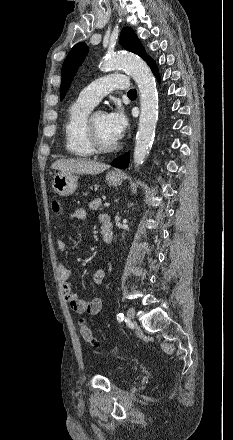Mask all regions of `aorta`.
Instances as JSON below:
<instances>
[{
    "mask_svg": "<svg viewBox=\"0 0 233 440\" xmlns=\"http://www.w3.org/2000/svg\"><path fill=\"white\" fill-rule=\"evenodd\" d=\"M107 70L121 68L137 83L140 92V118L133 154L134 166L138 168L152 146L158 120V93L155 78L148 65L138 56L121 53L111 55L104 61Z\"/></svg>",
    "mask_w": 233,
    "mask_h": 440,
    "instance_id": "obj_1",
    "label": "aorta"
}]
</instances>
